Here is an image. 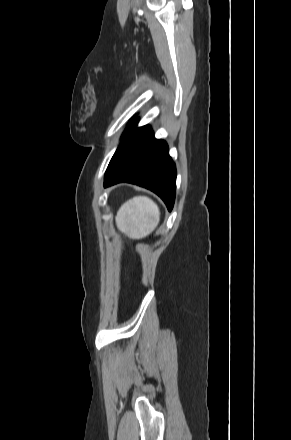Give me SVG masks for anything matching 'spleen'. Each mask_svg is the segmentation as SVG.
<instances>
[{
	"label": "spleen",
	"mask_w": 291,
	"mask_h": 440,
	"mask_svg": "<svg viewBox=\"0 0 291 440\" xmlns=\"http://www.w3.org/2000/svg\"><path fill=\"white\" fill-rule=\"evenodd\" d=\"M160 211L146 196H136L121 205L115 217L117 228L130 239H142L157 227Z\"/></svg>",
	"instance_id": "spleen-1"
}]
</instances>
